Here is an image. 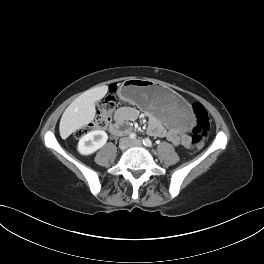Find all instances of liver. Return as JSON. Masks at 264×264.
<instances>
[{"mask_svg":"<svg viewBox=\"0 0 264 264\" xmlns=\"http://www.w3.org/2000/svg\"><path fill=\"white\" fill-rule=\"evenodd\" d=\"M108 86L89 89L77 97L64 111L60 120V136L66 139L70 134L89 124L95 117V102L102 99Z\"/></svg>","mask_w":264,"mask_h":264,"instance_id":"liver-1","label":"liver"}]
</instances>
